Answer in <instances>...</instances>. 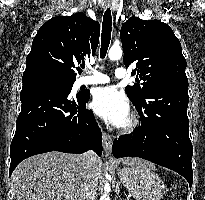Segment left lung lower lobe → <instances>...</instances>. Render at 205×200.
I'll use <instances>...</instances> for the list:
<instances>
[{"instance_id": "1", "label": "left lung lower lobe", "mask_w": 205, "mask_h": 200, "mask_svg": "<svg viewBox=\"0 0 205 200\" xmlns=\"http://www.w3.org/2000/svg\"><path fill=\"white\" fill-rule=\"evenodd\" d=\"M188 84L154 87L142 106H135L141 126L114 141L113 155L141 157L181 174L192 186L193 147L187 117Z\"/></svg>"}]
</instances>
